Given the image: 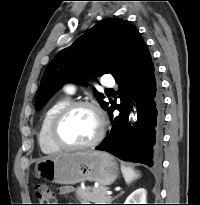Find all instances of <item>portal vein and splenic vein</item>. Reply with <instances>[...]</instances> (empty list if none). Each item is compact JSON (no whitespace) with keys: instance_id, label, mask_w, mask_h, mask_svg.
I'll list each match as a JSON object with an SVG mask.
<instances>
[{"instance_id":"18ae733b","label":"portal vein and splenic vein","mask_w":200,"mask_h":205,"mask_svg":"<svg viewBox=\"0 0 200 205\" xmlns=\"http://www.w3.org/2000/svg\"><path fill=\"white\" fill-rule=\"evenodd\" d=\"M106 194H107V195H111V194H112V191H107Z\"/></svg>"}]
</instances>
